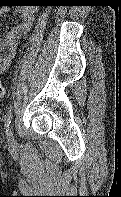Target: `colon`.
<instances>
[{"instance_id": "5ec220e1", "label": "colon", "mask_w": 121, "mask_h": 197, "mask_svg": "<svg viewBox=\"0 0 121 197\" xmlns=\"http://www.w3.org/2000/svg\"><path fill=\"white\" fill-rule=\"evenodd\" d=\"M4 97H5V89H4L3 84L0 80V99H2Z\"/></svg>"}]
</instances>
